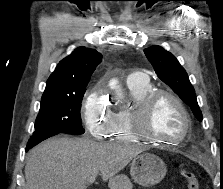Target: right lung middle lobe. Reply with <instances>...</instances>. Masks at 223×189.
<instances>
[{"mask_svg": "<svg viewBox=\"0 0 223 189\" xmlns=\"http://www.w3.org/2000/svg\"><path fill=\"white\" fill-rule=\"evenodd\" d=\"M86 88L74 93L43 94L33 135L85 132L81 124V102Z\"/></svg>", "mask_w": 223, "mask_h": 189, "instance_id": "1", "label": "right lung middle lobe"}]
</instances>
